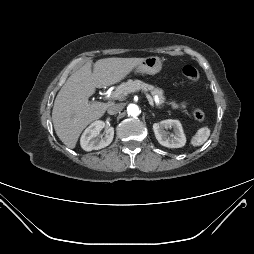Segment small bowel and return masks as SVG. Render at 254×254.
Instances as JSON below:
<instances>
[{"instance_id":"small-bowel-1","label":"small bowel","mask_w":254,"mask_h":254,"mask_svg":"<svg viewBox=\"0 0 254 254\" xmlns=\"http://www.w3.org/2000/svg\"><path fill=\"white\" fill-rule=\"evenodd\" d=\"M170 104L174 107V108H184L185 104H179L176 103L175 101H170Z\"/></svg>"}]
</instances>
